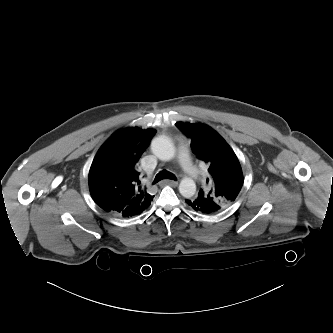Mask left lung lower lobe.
I'll list each match as a JSON object with an SVG mask.
<instances>
[{"instance_id": "left-lung-lower-lobe-1", "label": "left lung lower lobe", "mask_w": 333, "mask_h": 333, "mask_svg": "<svg viewBox=\"0 0 333 333\" xmlns=\"http://www.w3.org/2000/svg\"><path fill=\"white\" fill-rule=\"evenodd\" d=\"M188 206L202 213H215L220 211V206L213 200L203 196L191 197L186 200Z\"/></svg>"}]
</instances>
